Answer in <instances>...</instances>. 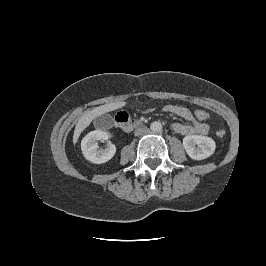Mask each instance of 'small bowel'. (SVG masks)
<instances>
[{
    "mask_svg": "<svg viewBox=\"0 0 266 266\" xmlns=\"http://www.w3.org/2000/svg\"><path fill=\"white\" fill-rule=\"evenodd\" d=\"M164 112L170 113L181 117L182 119L189 122L185 123H174L172 125L173 130L181 135L199 134L204 135L209 131V126L206 123L200 122L194 116V114L186 107L179 105H167L163 108Z\"/></svg>",
    "mask_w": 266,
    "mask_h": 266,
    "instance_id": "obj_1",
    "label": "small bowel"
}]
</instances>
